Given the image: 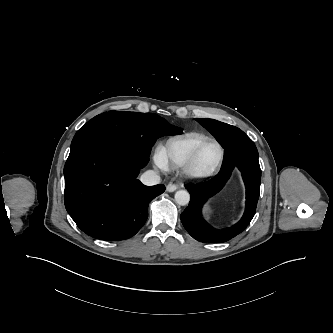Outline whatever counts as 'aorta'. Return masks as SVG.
<instances>
[{"label": "aorta", "mask_w": 333, "mask_h": 333, "mask_svg": "<svg viewBox=\"0 0 333 333\" xmlns=\"http://www.w3.org/2000/svg\"><path fill=\"white\" fill-rule=\"evenodd\" d=\"M177 204L184 206L190 201V194L186 190H178L174 195Z\"/></svg>", "instance_id": "1"}]
</instances>
